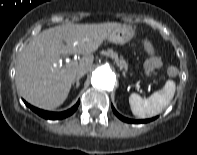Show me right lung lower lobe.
I'll list each match as a JSON object with an SVG mask.
<instances>
[{
  "label": "right lung lower lobe",
  "instance_id": "98d812e1",
  "mask_svg": "<svg viewBox=\"0 0 197 155\" xmlns=\"http://www.w3.org/2000/svg\"><path fill=\"white\" fill-rule=\"evenodd\" d=\"M79 103H80V101H78L72 108H70L69 110L64 111V112H49V111H44V110L38 109V108L25 102V104L30 109H32L35 113H37L39 116H41L45 119H52V120L63 119V118H66V117L72 115L77 110Z\"/></svg>",
  "mask_w": 197,
  "mask_h": 155
}]
</instances>
